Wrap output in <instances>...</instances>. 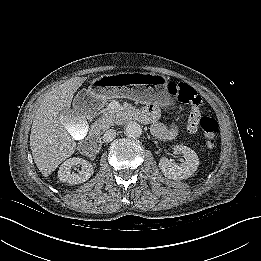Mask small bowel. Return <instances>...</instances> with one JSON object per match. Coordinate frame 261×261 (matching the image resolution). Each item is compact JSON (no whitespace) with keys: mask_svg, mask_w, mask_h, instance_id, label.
<instances>
[{"mask_svg":"<svg viewBox=\"0 0 261 261\" xmlns=\"http://www.w3.org/2000/svg\"><path fill=\"white\" fill-rule=\"evenodd\" d=\"M159 113L157 105L150 104L140 110H136L137 116L145 121H153ZM151 132L160 140L169 141L177 136L178 129L175 125L166 126L160 122L154 121L151 125Z\"/></svg>","mask_w":261,"mask_h":261,"instance_id":"c3829d8e","label":"small bowel"}]
</instances>
